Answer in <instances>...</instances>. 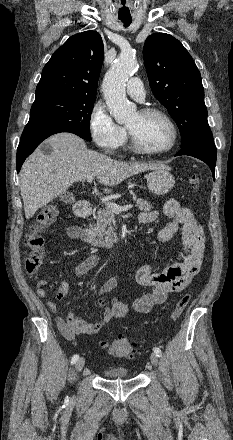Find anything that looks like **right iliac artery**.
I'll return each mask as SVG.
<instances>
[{
    "instance_id": "right-iliac-artery-1",
    "label": "right iliac artery",
    "mask_w": 233,
    "mask_h": 440,
    "mask_svg": "<svg viewBox=\"0 0 233 440\" xmlns=\"http://www.w3.org/2000/svg\"><path fill=\"white\" fill-rule=\"evenodd\" d=\"M78 359H79V355L75 354L71 359V364H75Z\"/></svg>"
}]
</instances>
